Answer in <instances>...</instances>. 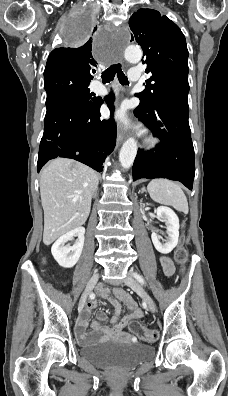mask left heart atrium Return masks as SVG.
Masks as SVG:
<instances>
[{"instance_id": "left-heart-atrium-1", "label": "left heart atrium", "mask_w": 228, "mask_h": 396, "mask_svg": "<svg viewBox=\"0 0 228 396\" xmlns=\"http://www.w3.org/2000/svg\"><path fill=\"white\" fill-rule=\"evenodd\" d=\"M116 118L123 122V123H127L128 119L126 117L125 111L124 110H120L117 114H116Z\"/></svg>"}]
</instances>
